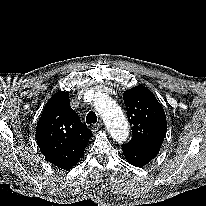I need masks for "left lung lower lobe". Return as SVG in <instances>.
<instances>
[{
  "mask_svg": "<svg viewBox=\"0 0 206 206\" xmlns=\"http://www.w3.org/2000/svg\"><path fill=\"white\" fill-rule=\"evenodd\" d=\"M122 150L124 152L126 160L130 164L137 167H143L157 156L156 154L149 152H140L124 148Z\"/></svg>",
  "mask_w": 206,
  "mask_h": 206,
  "instance_id": "1",
  "label": "left lung lower lobe"
}]
</instances>
